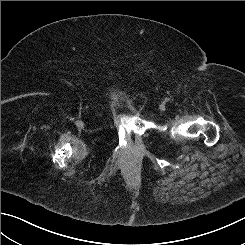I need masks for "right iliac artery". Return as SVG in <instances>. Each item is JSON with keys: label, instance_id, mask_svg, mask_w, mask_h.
<instances>
[{"label": "right iliac artery", "instance_id": "82829eb1", "mask_svg": "<svg viewBox=\"0 0 245 245\" xmlns=\"http://www.w3.org/2000/svg\"><path fill=\"white\" fill-rule=\"evenodd\" d=\"M70 120H71V121H73V120H74V118H70Z\"/></svg>", "mask_w": 245, "mask_h": 245}]
</instances>
